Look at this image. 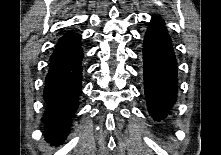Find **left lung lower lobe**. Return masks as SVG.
<instances>
[{"label": "left lung lower lobe", "mask_w": 221, "mask_h": 155, "mask_svg": "<svg viewBox=\"0 0 221 155\" xmlns=\"http://www.w3.org/2000/svg\"><path fill=\"white\" fill-rule=\"evenodd\" d=\"M144 87L149 113L155 120L166 117L177 93V61L164 21L154 16L143 46Z\"/></svg>", "instance_id": "obj_1"}]
</instances>
